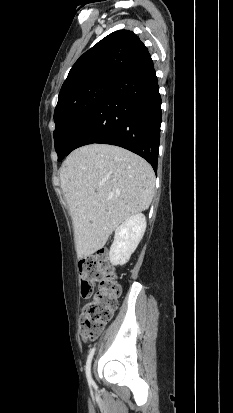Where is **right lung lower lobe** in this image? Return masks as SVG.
<instances>
[{
  "label": "right lung lower lobe",
  "instance_id": "right-lung-lower-lobe-1",
  "mask_svg": "<svg viewBox=\"0 0 233 413\" xmlns=\"http://www.w3.org/2000/svg\"><path fill=\"white\" fill-rule=\"evenodd\" d=\"M161 118V97L148 53L116 78L66 155L92 143L117 145L146 159L156 172Z\"/></svg>",
  "mask_w": 233,
  "mask_h": 413
}]
</instances>
